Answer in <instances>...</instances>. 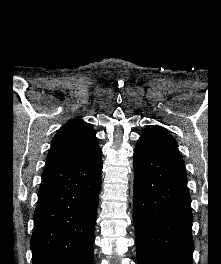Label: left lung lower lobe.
Instances as JSON below:
<instances>
[{"label":"left lung lower lobe","mask_w":221,"mask_h":264,"mask_svg":"<svg viewBox=\"0 0 221 264\" xmlns=\"http://www.w3.org/2000/svg\"><path fill=\"white\" fill-rule=\"evenodd\" d=\"M190 204L184 161L138 141L133 192L138 264H193Z\"/></svg>","instance_id":"1"}]
</instances>
